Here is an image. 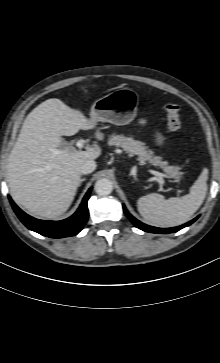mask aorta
Masks as SVG:
<instances>
[{
  "label": "aorta",
  "instance_id": "aorta-1",
  "mask_svg": "<svg viewBox=\"0 0 220 363\" xmlns=\"http://www.w3.org/2000/svg\"><path fill=\"white\" fill-rule=\"evenodd\" d=\"M95 192L100 196L109 195L113 190V184L111 180L107 178H101L95 183Z\"/></svg>",
  "mask_w": 220,
  "mask_h": 363
}]
</instances>
